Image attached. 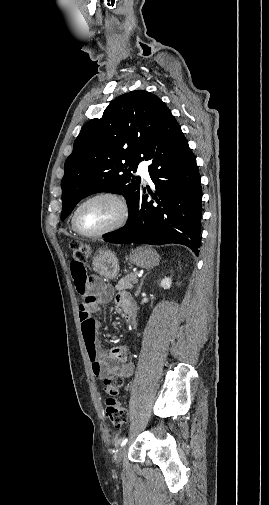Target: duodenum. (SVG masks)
I'll return each mask as SVG.
<instances>
[{
  "instance_id": "410a0bca",
  "label": "duodenum",
  "mask_w": 269,
  "mask_h": 505,
  "mask_svg": "<svg viewBox=\"0 0 269 505\" xmlns=\"http://www.w3.org/2000/svg\"><path fill=\"white\" fill-rule=\"evenodd\" d=\"M124 311H125V314H126V317L127 319L132 322L133 319H134V312H133V308L131 306H126L124 308Z\"/></svg>"
}]
</instances>
